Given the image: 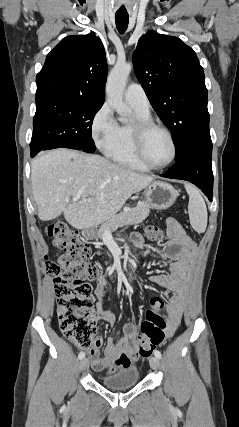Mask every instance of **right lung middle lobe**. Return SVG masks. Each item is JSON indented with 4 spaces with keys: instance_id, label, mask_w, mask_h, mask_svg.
Segmentation results:
<instances>
[{
    "instance_id": "obj_1",
    "label": "right lung middle lobe",
    "mask_w": 239,
    "mask_h": 427,
    "mask_svg": "<svg viewBox=\"0 0 239 427\" xmlns=\"http://www.w3.org/2000/svg\"><path fill=\"white\" fill-rule=\"evenodd\" d=\"M102 105L68 99L36 100L31 157L39 151L54 148L95 152L92 122Z\"/></svg>"
}]
</instances>
